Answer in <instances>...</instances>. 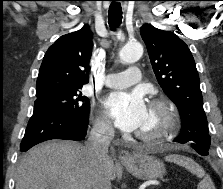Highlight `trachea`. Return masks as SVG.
<instances>
[{"mask_svg": "<svg viewBox=\"0 0 223 189\" xmlns=\"http://www.w3.org/2000/svg\"><path fill=\"white\" fill-rule=\"evenodd\" d=\"M115 1L119 0H113V2L109 6L108 11V23L111 29L117 28L122 21V8L120 3H117Z\"/></svg>", "mask_w": 223, "mask_h": 189, "instance_id": "3493384b", "label": "trachea"}]
</instances>
